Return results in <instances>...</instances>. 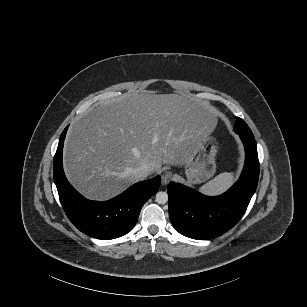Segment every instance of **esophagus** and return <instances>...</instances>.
Here are the masks:
<instances>
[{
    "instance_id": "1",
    "label": "esophagus",
    "mask_w": 307,
    "mask_h": 307,
    "mask_svg": "<svg viewBox=\"0 0 307 307\" xmlns=\"http://www.w3.org/2000/svg\"><path fill=\"white\" fill-rule=\"evenodd\" d=\"M172 176H173V173L171 171L169 170L164 171L161 176L163 185H167L170 182Z\"/></svg>"
}]
</instances>
